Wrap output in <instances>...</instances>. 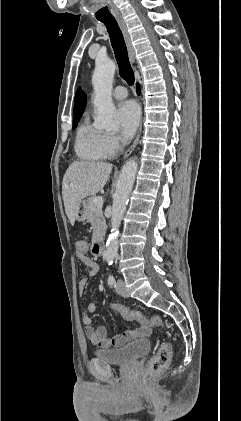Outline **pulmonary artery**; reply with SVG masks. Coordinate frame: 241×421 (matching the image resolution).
<instances>
[{"instance_id":"obj_1","label":"pulmonary artery","mask_w":241,"mask_h":421,"mask_svg":"<svg viewBox=\"0 0 241 421\" xmlns=\"http://www.w3.org/2000/svg\"><path fill=\"white\" fill-rule=\"evenodd\" d=\"M127 95H128V92L126 88L123 86H117L112 92V96L115 99H124L127 97Z\"/></svg>"}]
</instances>
